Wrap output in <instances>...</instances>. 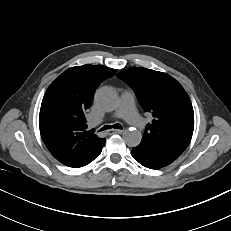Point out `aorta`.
I'll list each match as a JSON object with an SVG mask.
<instances>
[{
  "mask_svg": "<svg viewBox=\"0 0 231 231\" xmlns=\"http://www.w3.org/2000/svg\"><path fill=\"white\" fill-rule=\"evenodd\" d=\"M96 103L103 109H113L118 102V96L111 87H103L96 93ZM125 143L130 147H136L140 144L142 135L136 129H127L123 133Z\"/></svg>",
  "mask_w": 231,
  "mask_h": 231,
  "instance_id": "aorta-1",
  "label": "aorta"
}]
</instances>
